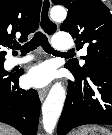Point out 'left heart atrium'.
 Masks as SVG:
<instances>
[{"mask_svg":"<svg viewBox=\"0 0 112 135\" xmlns=\"http://www.w3.org/2000/svg\"><path fill=\"white\" fill-rule=\"evenodd\" d=\"M54 72L48 65L42 64L32 68L26 75L25 82L30 87L42 88L50 83Z\"/></svg>","mask_w":112,"mask_h":135,"instance_id":"1","label":"left heart atrium"}]
</instances>
